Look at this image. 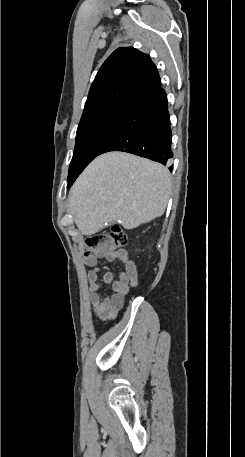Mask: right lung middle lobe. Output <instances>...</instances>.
Wrapping results in <instances>:
<instances>
[{"label": "right lung middle lobe", "mask_w": 245, "mask_h": 457, "mask_svg": "<svg viewBox=\"0 0 245 457\" xmlns=\"http://www.w3.org/2000/svg\"><path fill=\"white\" fill-rule=\"evenodd\" d=\"M128 111L129 109L110 108L82 115L68 172V188L71 187L84 168L99 155Z\"/></svg>", "instance_id": "right-lung-middle-lobe-1"}]
</instances>
